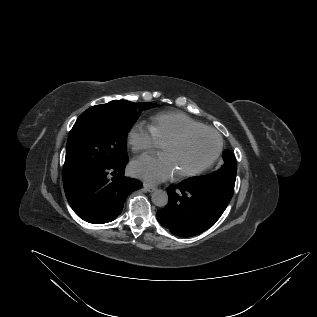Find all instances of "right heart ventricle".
Listing matches in <instances>:
<instances>
[{
	"label": "right heart ventricle",
	"mask_w": 317,
	"mask_h": 317,
	"mask_svg": "<svg viewBox=\"0 0 317 317\" xmlns=\"http://www.w3.org/2000/svg\"><path fill=\"white\" fill-rule=\"evenodd\" d=\"M204 125L182 112H162L152 118L150 129L159 144L165 143L184 130Z\"/></svg>",
	"instance_id": "e07e8e85"
}]
</instances>
